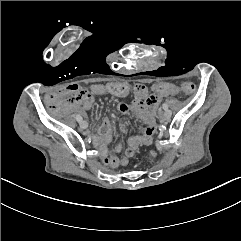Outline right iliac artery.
Here are the masks:
<instances>
[{"label": "right iliac artery", "mask_w": 241, "mask_h": 241, "mask_svg": "<svg viewBox=\"0 0 241 241\" xmlns=\"http://www.w3.org/2000/svg\"><path fill=\"white\" fill-rule=\"evenodd\" d=\"M76 119H77L78 122L82 121V117L79 114L76 115Z\"/></svg>", "instance_id": "right-iliac-artery-1"}]
</instances>
